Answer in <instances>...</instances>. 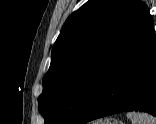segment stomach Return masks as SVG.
Segmentation results:
<instances>
[{
    "mask_svg": "<svg viewBox=\"0 0 156 124\" xmlns=\"http://www.w3.org/2000/svg\"><path fill=\"white\" fill-rule=\"evenodd\" d=\"M107 123H109V124H123L122 122H120V121H113V122H107Z\"/></svg>",
    "mask_w": 156,
    "mask_h": 124,
    "instance_id": "1",
    "label": "stomach"
}]
</instances>
